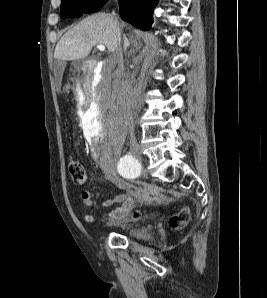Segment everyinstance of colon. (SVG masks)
Segmentation results:
<instances>
[{
    "label": "colon",
    "instance_id": "colon-1",
    "mask_svg": "<svg viewBox=\"0 0 267 298\" xmlns=\"http://www.w3.org/2000/svg\"><path fill=\"white\" fill-rule=\"evenodd\" d=\"M68 169L74 184L83 185L86 182L88 177L87 170L78 160H69ZM141 217V211L137 210L133 213L134 219H140ZM189 219L190 211L187 208H184L171 216L168 223L172 229H182L188 224Z\"/></svg>",
    "mask_w": 267,
    "mask_h": 298
}]
</instances>
